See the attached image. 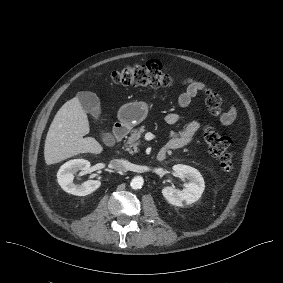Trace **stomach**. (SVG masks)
I'll use <instances>...</instances> for the list:
<instances>
[{
	"mask_svg": "<svg viewBox=\"0 0 283 283\" xmlns=\"http://www.w3.org/2000/svg\"><path fill=\"white\" fill-rule=\"evenodd\" d=\"M146 117L145 110L136 102L126 104L123 110H119V121L128 127H134L141 123Z\"/></svg>",
	"mask_w": 283,
	"mask_h": 283,
	"instance_id": "stomach-1",
	"label": "stomach"
}]
</instances>
